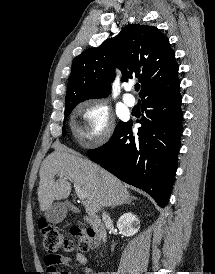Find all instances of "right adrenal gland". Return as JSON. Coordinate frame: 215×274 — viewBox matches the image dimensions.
Here are the masks:
<instances>
[{"label":"right adrenal gland","mask_w":215,"mask_h":274,"mask_svg":"<svg viewBox=\"0 0 215 274\" xmlns=\"http://www.w3.org/2000/svg\"><path fill=\"white\" fill-rule=\"evenodd\" d=\"M127 203L130 204V202H127ZM121 205H122V204H121ZM114 207H115V206H112V207H111V210H112Z\"/></svg>","instance_id":"right-adrenal-gland-1"}]
</instances>
